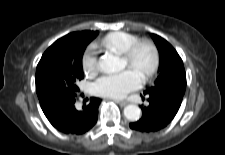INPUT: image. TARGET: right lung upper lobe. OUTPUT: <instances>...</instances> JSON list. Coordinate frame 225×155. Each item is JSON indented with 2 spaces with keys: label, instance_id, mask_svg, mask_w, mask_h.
Listing matches in <instances>:
<instances>
[{
  "label": "right lung upper lobe",
  "instance_id": "obj_1",
  "mask_svg": "<svg viewBox=\"0 0 225 155\" xmlns=\"http://www.w3.org/2000/svg\"><path fill=\"white\" fill-rule=\"evenodd\" d=\"M98 35V31H82L70 33L57 42L60 43H73V42H90Z\"/></svg>",
  "mask_w": 225,
  "mask_h": 155
}]
</instances>
